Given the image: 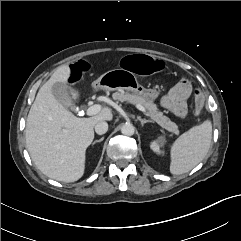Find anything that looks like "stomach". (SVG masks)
<instances>
[{"mask_svg":"<svg viewBox=\"0 0 241 241\" xmlns=\"http://www.w3.org/2000/svg\"><path fill=\"white\" fill-rule=\"evenodd\" d=\"M92 86L104 91L128 90L150 100H155L160 94V91L155 88H144L139 84L135 73L125 71L122 68L104 73L92 83Z\"/></svg>","mask_w":241,"mask_h":241,"instance_id":"obj_1","label":"stomach"}]
</instances>
